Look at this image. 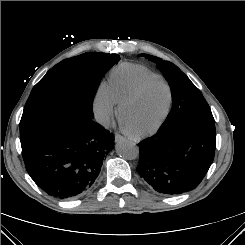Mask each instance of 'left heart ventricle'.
Segmentation results:
<instances>
[{
    "mask_svg": "<svg viewBox=\"0 0 245 245\" xmlns=\"http://www.w3.org/2000/svg\"><path fill=\"white\" fill-rule=\"evenodd\" d=\"M167 99L166 87L160 82H152L145 87L137 100L124 109L123 120L129 129L150 128L162 116Z\"/></svg>",
    "mask_w": 245,
    "mask_h": 245,
    "instance_id": "obj_1",
    "label": "left heart ventricle"
}]
</instances>
